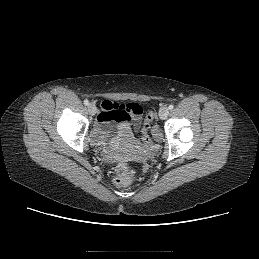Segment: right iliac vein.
I'll use <instances>...</instances> for the list:
<instances>
[{
	"mask_svg": "<svg viewBox=\"0 0 259 259\" xmlns=\"http://www.w3.org/2000/svg\"><path fill=\"white\" fill-rule=\"evenodd\" d=\"M88 111H89V113H90L91 115H95L96 112H97V108H96L95 104L90 103V104L88 105Z\"/></svg>",
	"mask_w": 259,
	"mask_h": 259,
	"instance_id": "63e3f726",
	"label": "right iliac vein"
}]
</instances>
